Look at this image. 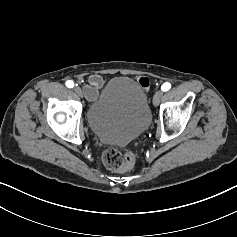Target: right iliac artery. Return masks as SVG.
<instances>
[{"instance_id":"right-iliac-artery-1","label":"right iliac artery","mask_w":237,"mask_h":237,"mask_svg":"<svg viewBox=\"0 0 237 237\" xmlns=\"http://www.w3.org/2000/svg\"><path fill=\"white\" fill-rule=\"evenodd\" d=\"M66 86H67L68 88H73V87H74V82L71 81V80H68V81L66 82Z\"/></svg>"}]
</instances>
